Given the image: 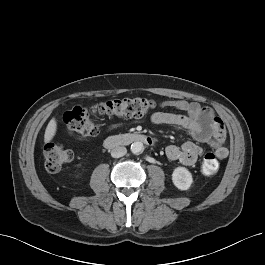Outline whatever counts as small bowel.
Masks as SVG:
<instances>
[{
	"instance_id": "obj_1",
	"label": "small bowel",
	"mask_w": 265,
	"mask_h": 265,
	"mask_svg": "<svg viewBox=\"0 0 265 265\" xmlns=\"http://www.w3.org/2000/svg\"><path fill=\"white\" fill-rule=\"evenodd\" d=\"M160 108H172L184 114L157 111L151 117L154 124L170 125L185 130L196 142L207 143L213 147L220 159L228 156V150L223 146L224 125L210 109L182 99L164 100L160 103ZM117 127L118 125H111L108 130ZM201 153L202 148L192 141L181 146L169 145L166 148V155L170 160L179 161L187 166L193 165Z\"/></svg>"
}]
</instances>
